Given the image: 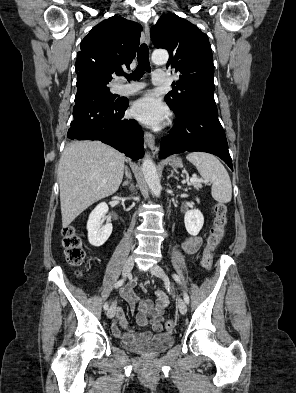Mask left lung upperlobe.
Segmentation results:
<instances>
[{"label":"left lung upper lobe","mask_w":296,"mask_h":393,"mask_svg":"<svg viewBox=\"0 0 296 393\" xmlns=\"http://www.w3.org/2000/svg\"><path fill=\"white\" fill-rule=\"evenodd\" d=\"M156 48L169 52L167 67L179 80L165 101L177 117L199 103L215 104L214 64L209 39L200 29L175 14H164L150 30Z\"/></svg>","instance_id":"obj_1"}]
</instances>
